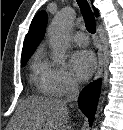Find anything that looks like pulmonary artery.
Instances as JSON below:
<instances>
[{"instance_id":"pulmonary-artery-1","label":"pulmonary artery","mask_w":123,"mask_h":130,"mask_svg":"<svg viewBox=\"0 0 123 130\" xmlns=\"http://www.w3.org/2000/svg\"><path fill=\"white\" fill-rule=\"evenodd\" d=\"M72 38L79 46H86L89 42L88 36L84 32H76Z\"/></svg>"}]
</instances>
